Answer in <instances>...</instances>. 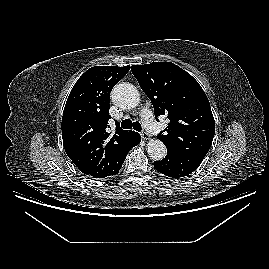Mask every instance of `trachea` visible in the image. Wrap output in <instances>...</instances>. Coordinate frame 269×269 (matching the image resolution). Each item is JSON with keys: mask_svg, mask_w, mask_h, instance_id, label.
I'll return each instance as SVG.
<instances>
[{"mask_svg": "<svg viewBox=\"0 0 269 269\" xmlns=\"http://www.w3.org/2000/svg\"><path fill=\"white\" fill-rule=\"evenodd\" d=\"M121 127L123 129H131L133 128L134 130L140 132L142 130L141 124L139 122H132L129 119H125L121 122Z\"/></svg>", "mask_w": 269, "mask_h": 269, "instance_id": "3493384b", "label": "trachea"}]
</instances>
